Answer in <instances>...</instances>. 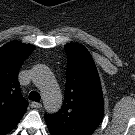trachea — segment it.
I'll return each instance as SVG.
<instances>
[{
  "instance_id": "3493384b",
  "label": "trachea",
  "mask_w": 135,
  "mask_h": 135,
  "mask_svg": "<svg viewBox=\"0 0 135 135\" xmlns=\"http://www.w3.org/2000/svg\"><path fill=\"white\" fill-rule=\"evenodd\" d=\"M29 99L30 100H33V101H36V102H40V94L36 91H32L30 94H29Z\"/></svg>"
}]
</instances>
